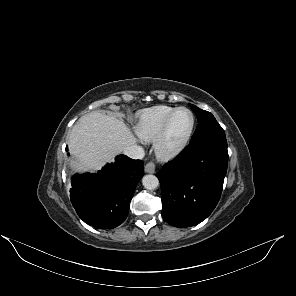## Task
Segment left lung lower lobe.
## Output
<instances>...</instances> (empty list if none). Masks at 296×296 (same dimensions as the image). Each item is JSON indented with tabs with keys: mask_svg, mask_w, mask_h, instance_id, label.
Listing matches in <instances>:
<instances>
[{
	"mask_svg": "<svg viewBox=\"0 0 296 296\" xmlns=\"http://www.w3.org/2000/svg\"><path fill=\"white\" fill-rule=\"evenodd\" d=\"M226 137L189 145L156 174L161 185L162 216L179 228L205 220L216 207L227 172Z\"/></svg>",
	"mask_w": 296,
	"mask_h": 296,
	"instance_id": "left-lung-lower-lobe-1",
	"label": "left lung lower lobe"
}]
</instances>
